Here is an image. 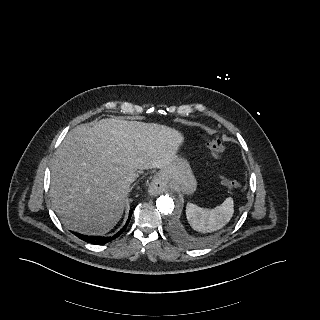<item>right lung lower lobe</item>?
<instances>
[{"label": "right lung lower lobe", "instance_id": "obj_1", "mask_svg": "<svg viewBox=\"0 0 320 320\" xmlns=\"http://www.w3.org/2000/svg\"><path fill=\"white\" fill-rule=\"evenodd\" d=\"M131 215H132V211H130L129 213V217H128V220L125 224V226L117 233L115 234L114 236H111V237H101V236H87V235H83V234H79V233H74L77 237H79L80 239L88 242V243H92V244H105L109 241H112L113 239H115L116 237H118L127 227L129 221H130V218H131Z\"/></svg>", "mask_w": 320, "mask_h": 320}]
</instances>
